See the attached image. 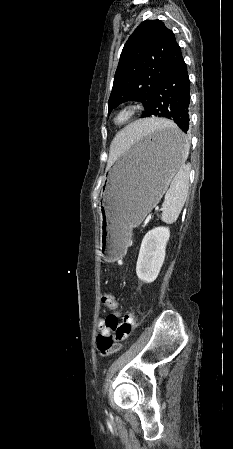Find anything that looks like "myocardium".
<instances>
[{"label":"myocardium","instance_id":"f54148a6","mask_svg":"<svg viewBox=\"0 0 233 449\" xmlns=\"http://www.w3.org/2000/svg\"><path fill=\"white\" fill-rule=\"evenodd\" d=\"M139 110V105L128 104L118 108L112 116L114 125L121 126L130 122Z\"/></svg>","mask_w":233,"mask_h":449}]
</instances>
